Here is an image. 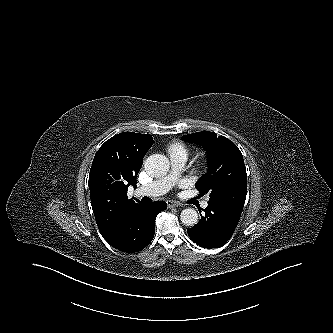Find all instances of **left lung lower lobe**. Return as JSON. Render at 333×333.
Returning <instances> with one entry per match:
<instances>
[{"mask_svg": "<svg viewBox=\"0 0 333 333\" xmlns=\"http://www.w3.org/2000/svg\"><path fill=\"white\" fill-rule=\"evenodd\" d=\"M203 211L205 216H201V220L187 230L189 237L204 248L223 246L234 233L241 214L209 201Z\"/></svg>", "mask_w": 333, "mask_h": 333, "instance_id": "1", "label": "left lung lower lobe"}]
</instances>
